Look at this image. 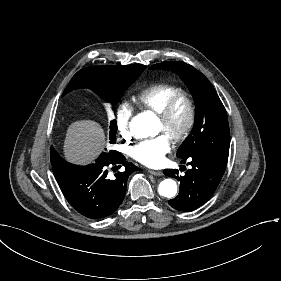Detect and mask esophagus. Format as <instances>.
Segmentation results:
<instances>
[{"label":"esophagus","mask_w":281,"mask_h":281,"mask_svg":"<svg viewBox=\"0 0 281 281\" xmlns=\"http://www.w3.org/2000/svg\"><path fill=\"white\" fill-rule=\"evenodd\" d=\"M148 172L154 176H163V172L160 170H148Z\"/></svg>","instance_id":"obj_1"}]
</instances>
